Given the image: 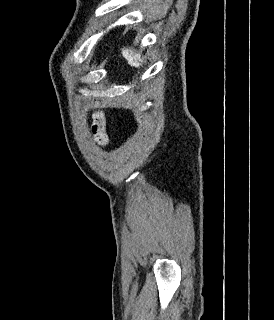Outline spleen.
<instances>
[{
    "label": "spleen",
    "instance_id": "obj_1",
    "mask_svg": "<svg viewBox=\"0 0 274 320\" xmlns=\"http://www.w3.org/2000/svg\"><path fill=\"white\" fill-rule=\"evenodd\" d=\"M121 54L125 60H127L129 66L133 68H140L143 64V56L134 52V50H129V48H121Z\"/></svg>",
    "mask_w": 274,
    "mask_h": 320
}]
</instances>
